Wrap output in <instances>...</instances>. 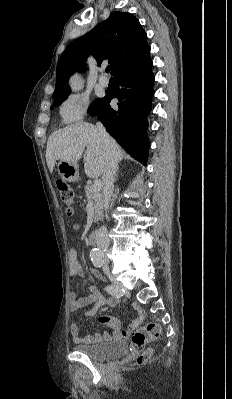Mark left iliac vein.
Instances as JSON below:
<instances>
[{
  "label": "left iliac vein",
  "mask_w": 232,
  "mask_h": 399,
  "mask_svg": "<svg viewBox=\"0 0 232 399\" xmlns=\"http://www.w3.org/2000/svg\"><path fill=\"white\" fill-rule=\"evenodd\" d=\"M103 272H104L105 275H108V274H109L110 269H109V266H108V265H105V266H104Z\"/></svg>",
  "instance_id": "obj_1"
}]
</instances>
